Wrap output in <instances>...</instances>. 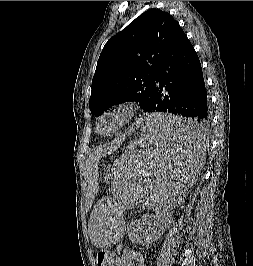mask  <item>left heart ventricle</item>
<instances>
[{"label": "left heart ventricle", "mask_w": 253, "mask_h": 266, "mask_svg": "<svg viewBox=\"0 0 253 266\" xmlns=\"http://www.w3.org/2000/svg\"><path fill=\"white\" fill-rule=\"evenodd\" d=\"M120 116L118 114H110L105 116L99 125V131L103 134L112 132L120 123Z\"/></svg>", "instance_id": "left-heart-ventricle-1"}]
</instances>
